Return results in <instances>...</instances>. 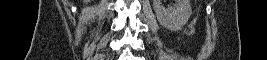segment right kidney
I'll use <instances>...</instances> for the list:
<instances>
[{
  "mask_svg": "<svg viewBox=\"0 0 267 60\" xmlns=\"http://www.w3.org/2000/svg\"><path fill=\"white\" fill-rule=\"evenodd\" d=\"M90 0H84V2H89Z\"/></svg>",
  "mask_w": 267,
  "mask_h": 60,
  "instance_id": "1",
  "label": "right kidney"
}]
</instances>
